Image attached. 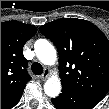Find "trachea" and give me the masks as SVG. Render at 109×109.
Here are the masks:
<instances>
[{
  "mask_svg": "<svg viewBox=\"0 0 109 109\" xmlns=\"http://www.w3.org/2000/svg\"><path fill=\"white\" fill-rule=\"evenodd\" d=\"M31 70L35 75H41L43 73V67L40 63L34 62L31 65Z\"/></svg>",
  "mask_w": 109,
  "mask_h": 109,
  "instance_id": "3493384b",
  "label": "trachea"
}]
</instances>
